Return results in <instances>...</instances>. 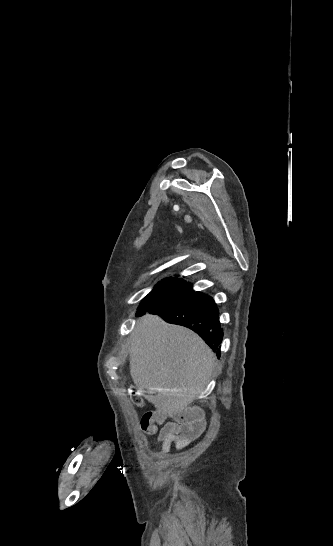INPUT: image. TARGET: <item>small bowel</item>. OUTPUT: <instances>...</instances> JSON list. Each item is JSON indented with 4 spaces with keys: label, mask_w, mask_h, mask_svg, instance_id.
Segmentation results:
<instances>
[{
    "label": "small bowel",
    "mask_w": 333,
    "mask_h": 546,
    "mask_svg": "<svg viewBox=\"0 0 333 546\" xmlns=\"http://www.w3.org/2000/svg\"><path fill=\"white\" fill-rule=\"evenodd\" d=\"M156 422L163 421V416L155 414ZM205 421L194 417H177L172 422L164 423L158 433L161 442L160 454L169 452L174 444L183 448L200 436L205 429Z\"/></svg>",
    "instance_id": "c3829d8e"
}]
</instances>
